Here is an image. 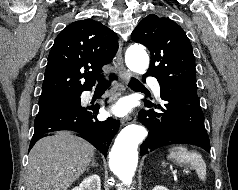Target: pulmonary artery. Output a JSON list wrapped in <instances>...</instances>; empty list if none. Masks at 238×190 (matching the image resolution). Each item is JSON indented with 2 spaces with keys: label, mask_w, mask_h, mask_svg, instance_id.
Listing matches in <instances>:
<instances>
[{
  "label": "pulmonary artery",
  "mask_w": 238,
  "mask_h": 190,
  "mask_svg": "<svg viewBox=\"0 0 238 190\" xmlns=\"http://www.w3.org/2000/svg\"><path fill=\"white\" fill-rule=\"evenodd\" d=\"M147 82L152 87L155 95L159 96L160 95V86H159L158 82L155 79H152V78L148 79Z\"/></svg>",
  "instance_id": "pulmonary-artery-1"
}]
</instances>
